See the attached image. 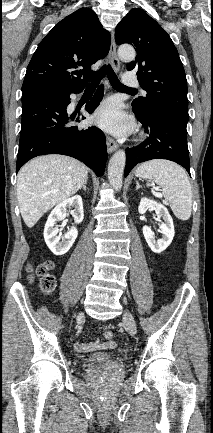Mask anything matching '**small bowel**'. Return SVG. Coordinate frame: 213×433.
<instances>
[{
    "mask_svg": "<svg viewBox=\"0 0 213 433\" xmlns=\"http://www.w3.org/2000/svg\"><path fill=\"white\" fill-rule=\"evenodd\" d=\"M116 343L114 341H108L104 343L93 342V343H84L77 342L75 344V349L78 352H90L98 349H109L115 347Z\"/></svg>",
    "mask_w": 213,
    "mask_h": 433,
    "instance_id": "1",
    "label": "small bowel"
}]
</instances>
